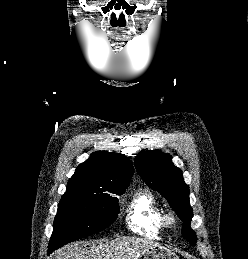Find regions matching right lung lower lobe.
I'll use <instances>...</instances> for the list:
<instances>
[{"instance_id": "obj_1", "label": "right lung lower lobe", "mask_w": 248, "mask_h": 259, "mask_svg": "<svg viewBox=\"0 0 248 259\" xmlns=\"http://www.w3.org/2000/svg\"><path fill=\"white\" fill-rule=\"evenodd\" d=\"M55 249H53L52 247L49 246L48 248V253H51L52 251H54Z\"/></svg>"}]
</instances>
